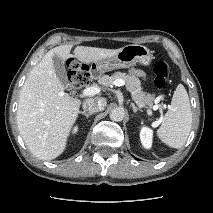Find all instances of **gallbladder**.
<instances>
[{"label":"gallbladder","instance_id":"bac80fb5","mask_svg":"<svg viewBox=\"0 0 213 213\" xmlns=\"http://www.w3.org/2000/svg\"><path fill=\"white\" fill-rule=\"evenodd\" d=\"M53 64H54L55 72H56L58 78L60 79L61 83L65 86H67L68 77H67V72H66L64 61L59 56L54 55Z\"/></svg>","mask_w":213,"mask_h":213}]
</instances>
